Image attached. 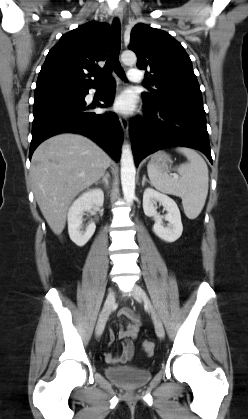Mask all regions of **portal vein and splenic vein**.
<instances>
[{
	"instance_id": "obj_1",
	"label": "portal vein and splenic vein",
	"mask_w": 248,
	"mask_h": 419,
	"mask_svg": "<svg viewBox=\"0 0 248 419\" xmlns=\"http://www.w3.org/2000/svg\"><path fill=\"white\" fill-rule=\"evenodd\" d=\"M173 177H174V178H178V175H177V174H173Z\"/></svg>"
}]
</instances>
